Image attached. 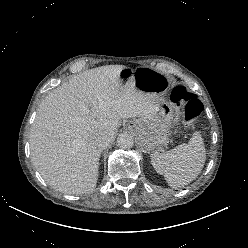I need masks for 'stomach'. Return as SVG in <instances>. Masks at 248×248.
<instances>
[{"mask_svg":"<svg viewBox=\"0 0 248 248\" xmlns=\"http://www.w3.org/2000/svg\"><path fill=\"white\" fill-rule=\"evenodd\" d=\"M119 76L123 82L132 79L138 90L158 97V110L151 119H137L128 125L135 133L140 147L150 151L166 144L173 117V108L163 100L168 87L166 75L150 67L141 66L134 70L125 68Z\"/></svg>","mask_w":248,"mask_h":248,"instance_id":"obj_1","label":"stomach"}]
</instances>
